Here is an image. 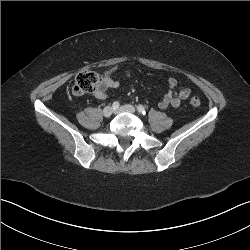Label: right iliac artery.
<instances>
[{
    "label": "right iliac artery",
    "instance_id": "1",
    "mask_svg": "<svg viewBox=\"0 0 250 250\" xmlns=\"http://www.w3.org/2000/svg\"><path fill=\"white\" fill-rule=\"evenodd\" d=\"M119 106H120V103H119L118 101H115V102L112 104V108H113V109H117Z\"/></svg>",
    "mask_w": 250,
    "mask_h": 250
}]
</instances>
